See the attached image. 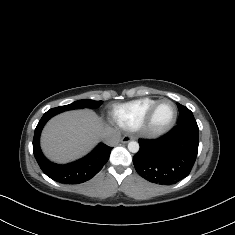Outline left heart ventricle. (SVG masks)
I'll return each instance as SVG.
<instances>
[{"label":"left heart ventricle","instance_id":"left-heart-ventricle-1","mask_svg":"<svg viewBox=\"0 0 235 235\" xmlns=\"http://www.w3.org/2000/svg\"><path fill=\"white\" fill-rule=\"evenodd\" d=\"M175 115V107L169 101H164L159 104L157 107L155 114L153 125L155 128H162L166 126Z\"/></svg>","mask_w":235,"mask_h":235}]
</instances>
